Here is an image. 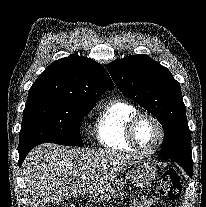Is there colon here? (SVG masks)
Instances as JSON below:
<instances>
[{
    "instance_id": "1",
    "label": "colon",
    "mask_w": 206,
    "mask_h": 207,
    "mask_svg": "<svg viewBox=\"0 0 206 207\" xmlns=\"http://www.w3.org/2000/svg\"><path fill=\"white\" fill-rule=\"evenodd\" d=\"M181 190H182V186L177 171L173 169H169L161 175L160 181L157 185V191L159 195L169 200H177L181 195ZM62 207H70V206L65 205ZM151 207H158V206L154 203L151 205Z\"/></svg>"
}]
</instances>
